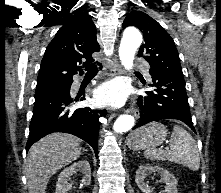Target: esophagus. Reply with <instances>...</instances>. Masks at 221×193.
Listing matches in <instances>:
<instances>
[{
    "label": "esophagus",
    "instance_id": "1",
    "mask_svg": "<svg viewBox=\"0 0 221 193\" xmlns=\"http://www.w3.org/2000/svg\"><path fill=\"white\" fill-rule=\"evenodd\" d=\"M110 71L112 76L123 74L122 67L116 58H114L111 63ZM125 111L127 113H131L136 119H138L140 116L139 110L133 106L127 108Z\"/></svg>",
    "mask_w": 221,
    "mask_h": 193
}]
</instances>
